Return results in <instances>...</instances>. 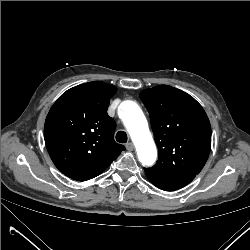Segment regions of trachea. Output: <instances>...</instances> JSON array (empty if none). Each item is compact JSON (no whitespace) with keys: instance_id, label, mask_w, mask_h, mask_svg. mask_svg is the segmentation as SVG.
<instances>
[{"instance_id":"3493384b","label":"trachea","mask_w":250,"mask_h":250,"mask_svg":"<svg viewBox=\"0 0 250 250\" xmlns=\"http://www.w3.org/2000/svg\"><path fill=\"white\" fill-rule=\"evenodd\" d=\"M128 140L127 134L124 131H119L116 134V141L119 143H126Z\"/></svg>"}]
</instances>
